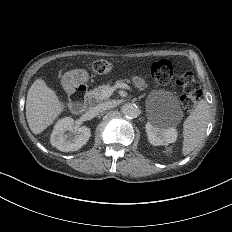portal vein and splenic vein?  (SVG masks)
Instances as JSON below:
<instances>
[{
  "mask_svg": "<svg viewBox=\"0 0 232 232\" xmlns=\"http://www.w3.org/2000/svg\"><path fill=\"white\" fill-rule=\"evenodd\" d=\"M117 89H127L128 91H133L132 87H130L126 83L115 84L111 88L103 91V98L105 99L110 97L113 94V92H115Z\"/></svg>",
  "mask_w": 232,
  "mask_h": 232,
  "instance_id": "obj_1",
  "label": "portal vein and splenic vein"
}]
</instances>
